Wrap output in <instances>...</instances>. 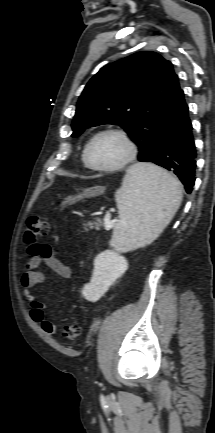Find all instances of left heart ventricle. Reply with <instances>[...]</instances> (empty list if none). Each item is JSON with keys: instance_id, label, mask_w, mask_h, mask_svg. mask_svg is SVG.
<instances>
[{"instance_id": "b2bd125f", "label": "left heart ventricle", "mask_w": 215, "mask_h": 433, "mask_svg": "<svg viewBox=\"0 0 215 433\" xmlns=\"http://www.w3.org/2000/svg\"><path fill=\"white\" fill-rule=\"evenodd\" d=\"M126 153V145L120 137L106 134L94 141L89 150V158L96 166H113L121 162Z\"/></svg>"}]
</instances>
